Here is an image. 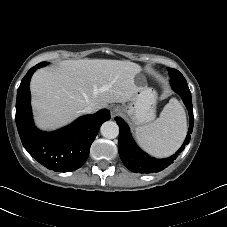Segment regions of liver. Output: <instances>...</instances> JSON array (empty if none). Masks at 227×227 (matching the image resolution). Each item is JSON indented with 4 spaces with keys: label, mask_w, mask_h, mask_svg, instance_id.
I'll list each match as a JSON object with an SVG mask.
<instances>
[{
    "label": "liver",
    "mask_w": 227,
    "mask_h": 227,
    "mask_svg": "<svg viewBox=\"0 0 227 227\" xmlns=\"http://www.w3.org/2000/svg\"><path fill=\"white\" fill-rule=\"evenodd\" d=\"M141 67L128 60H64L38 70L31 79L32 107L38 127H62L91 105L126 103L138 92L135 77Z\"/></svg>",
    "instance_id": "liver-1"
}]
</instances>
